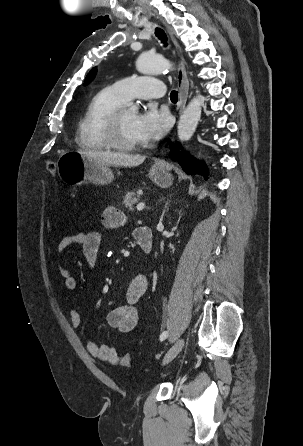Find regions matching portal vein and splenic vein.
Here are the masks:
<instances>
[{"label":"portal vein and splenic vein","instance_id":"obj_1","mask_svg":"<svg viewBox=\"0 0 303 446\" xmlns=\"http://www.w3.org/2000/svg\"><path fill=\"white\" fill-rule=\"evenodd\" d=\"M145 208V203H143V202H140L138 205H137V210L138 211H141V210H143Z\"/></svg>","mask_w":303,"mask_h":446}]
</instances>
